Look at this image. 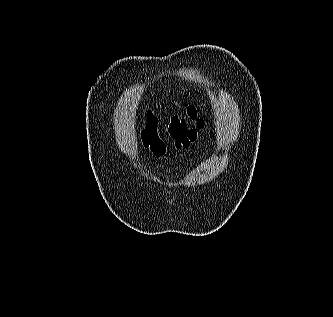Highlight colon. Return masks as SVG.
Returning <instances> with one entry per match:
<instances>
[{"label": "colon", "mask_w": 333, "mask_h": 317, "mask_svg": "<svg viewBox=\"0 0 333 317\" xmlns=\"http://www.w3.org/2000/svg\"><path fill=\"white\" fill-rule=\"evenodd\" d=\"M146 127L142 132L143 144L155 155L166 152V144L158 133V122L151 111L146 112ZM204 125V120L199 116L198 108L194 105L187 107L185 114L176 115L170 119L168 135L176 148H185L193 143L197 131Z\"/></svg>", "instance_id": "1"}]
</instances>
